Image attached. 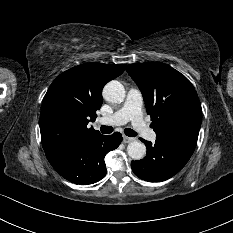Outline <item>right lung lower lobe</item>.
Returning <instances> with one entry per match:
<instances>
[{
	"label": "right lung lower lobe",
	"instance_id": "98d812e1",
	"mask_svg": "<svg viewBox=\"0 0 233 233\" xmlns=\"http://www.w3.org/2000/svg\"><path fill=\"white\" fill-rule=\"evenodd\" d=\"M122 136L119 132L80 138L44 150L52 167L68 181L88 185L100 181L107 173L104 157L116 149Z\"/></svg>",
	"mask_w": 233,
	"mask_h": 233
}]
</instances>
